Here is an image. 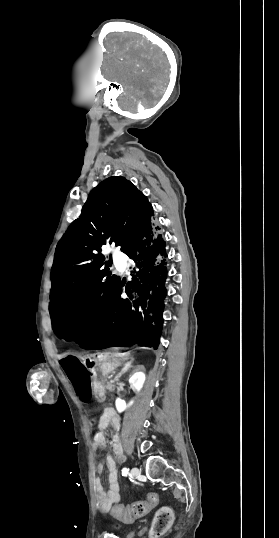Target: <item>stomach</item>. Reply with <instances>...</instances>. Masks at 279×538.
I'll use <instances>...</instances> for the list:
<instances>
[{
  "mask_svg": "<svg viewBox=\"0 0 279 538\" xmlns=\"http://www.w3.org/2000/svg\"><path fill=\"white\" fill-rule=\"evenodd\" d=\"M127 354L106 352V353H97L96 362L97 364H102V370L104 374H115L117 366L123 364L127 360ZM102 370H100L102 374ZM108 381L107 375H102L101 379H96L94 381V390L93 393L96 395L97 399L103 401L106 399L107 394L105 392L106 386L103 382Z\"/></svg>",
  "mask_w": 279,
  "mask_h": 538,
  "instance_id": "1",
  "label": "stomach"
}]
</instances>
